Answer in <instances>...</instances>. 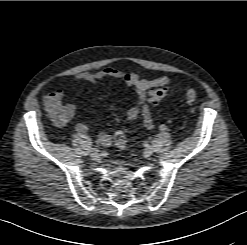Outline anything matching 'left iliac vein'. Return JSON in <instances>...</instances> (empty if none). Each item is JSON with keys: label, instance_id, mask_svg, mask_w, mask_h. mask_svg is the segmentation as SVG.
<instances>
[{"label": "left iliac vein", "instance_id": "left-iliac-vein-1", "mask_svg": "<svg viewBox=\"0 0 247 245\" xmlns=\"http://www.w3.org/2000/svg\"><path fill=\"white\" fill-rule=\"evenodd\" d=\"M153 148L151 147V146H148V147H146L145 149H144V152H143V154H144V156L145 157H150V156H152V154H153Z\"/></svg>", "mask_w": 247, "mask_h": 245}]
</instances>
